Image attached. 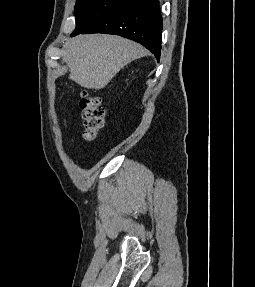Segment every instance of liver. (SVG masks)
<instances>
[{
	"label": "liver",
	"instance_id": "1",
	"mask_svg": "<svg viewBox=\"0 0 255 287\" xmlns=\"http://www.w3.org/2000/svg\"><path fill=\"white\" fill-rule=\"evenodd\" d=\"M63 62L70 78L82 88L102 90L121 68L143 58L147 52L140 44L120 36H77L66 42Z\"/></svg>",
	"mask_w": 255,
	"mask_h": 287
}]
</instances>
